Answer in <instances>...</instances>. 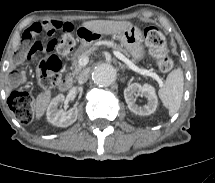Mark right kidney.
<instances>
[{"instance_id": "right-kidney-1", "label": "right kidney", "mask_w": 215, "mask_h": 183, "mask_svg": "<svg viewBox=\"0 0 215 183\" xmlns=\"http://www.w3.org/2000/svg\"><path fill=\"white\" fill-rule=\"evenodd\" d=\"M65 100L63 94L57 95L52 99L47 108V120L54 126L57 127H68L73 124L78 117V108L73 106L68 111L58 109V106Z\"/></svg>"}]
</instances>
